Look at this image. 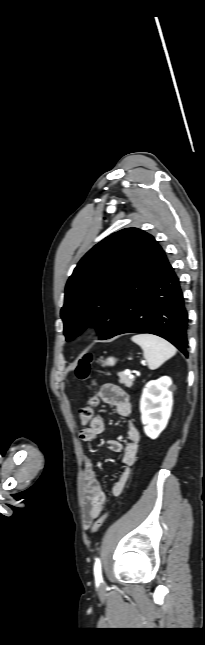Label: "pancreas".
<instances>
[{"instance_id":"pancreas-1","label":"pancreas","mask_w":205,"mask_h":645,"mask_svg":"<svg viewBox=\"0 0 205 645\" xmlns=\"http://www.w3.org/2000/svg\"><path fill=\"white\" fill-rule=\"evenodd\" d=\"M118 376L120 377L119 382L124 384L126 387L130 388L133 385L134 378L125 374V372H119Z\"/></svg>"}]
</instances>
